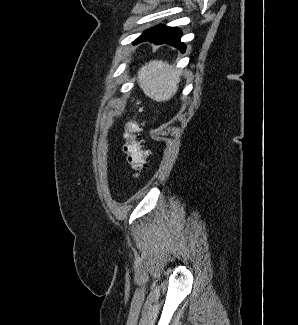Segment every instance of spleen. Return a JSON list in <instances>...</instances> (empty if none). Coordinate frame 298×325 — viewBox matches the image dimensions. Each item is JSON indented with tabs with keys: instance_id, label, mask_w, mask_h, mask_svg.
Segmentation results:
<instances>
[{
	"instance_id": "3e777b00",
	"label": "spleen",
	"mask_w": 298,
	"mask_h": 325,
	"mask_svg": "<svg viewBox=\"0 0 298 325\" xmlns=\"http://www.w3.org/2000/svg\"><path fill=\"white\" fill-rule=\"evenodd\" d=\"M137 78L146 96L157 102H165L178 90L180 70L172 68L164 60H149L139 68Z\"/></svg>"
}]
</instances>
